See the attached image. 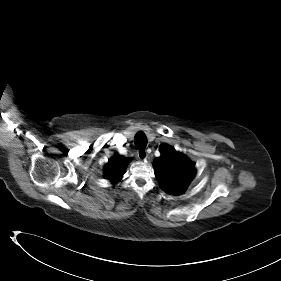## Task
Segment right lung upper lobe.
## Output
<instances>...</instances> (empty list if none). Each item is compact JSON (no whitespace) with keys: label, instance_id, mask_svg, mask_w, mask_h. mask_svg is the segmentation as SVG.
<instances>
[{"label":"right lung upper lobe","instance_id":"right-lung-upper-lobe-1","mask_svg":"<svg viewBox=\"0 0 281 281\" xmlns=\"http://www.w3.org/2000/svg\"><path fill=\"white\" fill-rule=\"evenodd\" d=\"M130 161V158H125L118 154L114 155L105 166V178L113 181V183L118 182Z\"/></svg>","mask_w":281,"mask_h":281}]
</instances>
